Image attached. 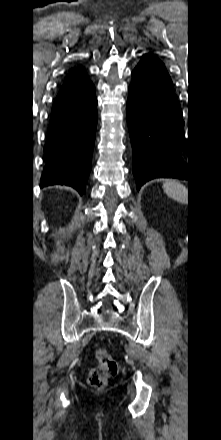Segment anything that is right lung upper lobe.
Returning a JSON list of instances; mask_svg holds the SVG:
<instances>
[{
  "instance_id": "right-lung-upper-lobe-1",
  "label": "right lung upper lobe",
  "mask_w": 221,
  "mask_h": 440,
  "mask_svg": "<svg viewBox=\"0 0 221 440\" xmlns=\"http://www.w3.org/2000/svg\"><path fill=\"white\" fill-rule=\"evenodd\" d=\"M87 79V76L83 70H75L73 71L68 78L65 80L63 85L73 84L82 80Z\"/></svg>"
}]
</instances>
